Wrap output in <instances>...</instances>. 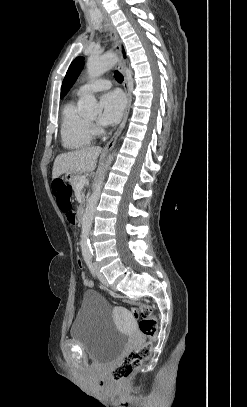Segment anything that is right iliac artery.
Returning <instances> with one entry per match:
<instances>
[{"label":"right iliac artery","mask_w":247,"mask_h":407,"mask_svg":"<svg viewBox=\"0 0 247 407\" xmlns=\"http://www.w3.org/2000/svg\"><path fill=\"white\" fill-rule=\"evenodd\" d=\"M85 262H86L89 270L91 271L92 275L95 277L96 273H95V269H94L91 257L85 258Z\"/></svg>","instance_id":"82829eb1"}]
</instances>
